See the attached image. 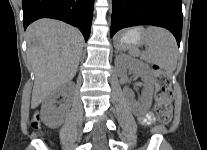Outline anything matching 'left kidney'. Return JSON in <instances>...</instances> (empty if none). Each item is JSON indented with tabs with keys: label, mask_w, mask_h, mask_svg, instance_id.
Instances as JSON below:
<instances>
[{
	"label": "left kidney",
	"mask_w": 207,
	"mask_h": 150,
	"mask_svg": "<svg viewBox=\"0 0 207 150\" xmlns=\"http://www.w3.org/2000/svg\"><path fill=\"white\" fill-rule=\"evenodd\" d=\"M115 63L119 68V72L122 76H125L126 69H129L130 72H133L135 75L140 76L144 81L141 103L134 100L133 95L130 91H125L133 114L135 116L144 115L148 112L149 108L152 105L154 78L150 67L147 64L130 58L124 54L119 55L116 58Z\"/></svg>",
	"instance_id": "obj_1"
}]
</instances>
